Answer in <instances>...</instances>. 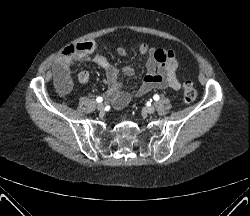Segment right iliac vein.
Here are the masks:
<instances>
[{"mask_svg": "<svg viewBox=\"0 0 250 216\" xmlns=\"http://www.w3.org/2000/svg\"><path fill=\"white\" fill-rule=\"evenodd\" d=\"M97 110L103 111V110H104V104H103V103H99V104L97 105Z\"/></svg>", "mask_w": 250, "mask_h": 216, "instance_id": "63e3f726", "label": "right iliac vein"}]
</instances>
